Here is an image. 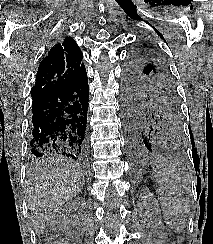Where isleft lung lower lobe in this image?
<instances>
[{
	"label": "left lung lower lobe",
	"instance_id": "left-lung-lower-lobe-1",
	"mask_svg": "<svg viewBox=\"0 0 213 244\" xmlns=\"http://www.w3.org/2000/svg\"><path fill=\"white\" fill-rule=\"evenodd\" d=\"M123 123L126 144L133 157L148 155L159 146L163 138L158 130L134 110L123 106Z\"/></svg>",
	"mask_w": 213,
	"mask_h": 244
}]
</instances>
